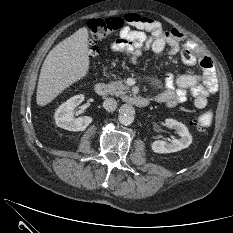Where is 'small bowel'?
Returning a JSON list of instances; mask_svg holds the SVG:
<instances>
[{
    "instance_id": "obj_1",
    "label": "small bowel",
    "mask_w": 233,
    "mask_h": 233,
    "mask_svg": "<svg viewBox=\"0 0 233 233\" xmlns=\"http://www.w3.org/2000/svg\"><path fill=\"white\" fill-rule=\"evenodd\" d=\"M127 23L120 30L111 48L123 53L133 62L145 52L159 54L168 49L172 54L181 52L183 62L188 66L199 64L202 74H182L165 78V90L155 100L167 107H175L186 102L188 92L193 96V104L198 109L207 106V98L218 90L217 76L211 58L193 41L177 29L166 30L153 19L130 13L125 16Z\"/></svg>"
}]
</instances>
